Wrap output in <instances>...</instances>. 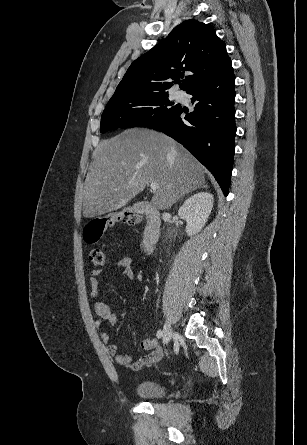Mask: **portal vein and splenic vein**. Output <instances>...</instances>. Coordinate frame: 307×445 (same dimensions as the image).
<instances>
[{
  "mask_svg": "<svg viewBox=\"0 0 307 445\" xmlns=\"http://www.w3.org/2000/svg\"><path fill=\"white\" fill-rule=\"evenodd\" d=\"M150 188H152V190H157L158 188L157 182H150Z\"/></svg>",
  "mask_w": 307,
  "mask_h": 445,
  "instance_id": "obj_1",
  "label": "portal vein and splenic vein"
}]
</instances>
